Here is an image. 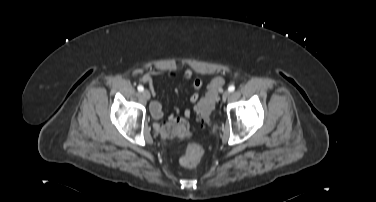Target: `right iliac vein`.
Masks as SVG:
<instances>
[{
  "label": "right iliac vein",
  "instance_id": "63e3f726",
  "mask_svg": "<svg viewBox=\"0 0 376 202\" xmlns=\"http://www.w3.org/2000/svg\"><path fill=\"white\" fill-rule=\"evenodd\" d=\"M142 96H143V98L146 99V100H149L150 97H151L150 92H149L148 90H143V91H142Z\"/></svg>",
  "mask_w": 376,
  "mask_h": 202
}]
</instances>
